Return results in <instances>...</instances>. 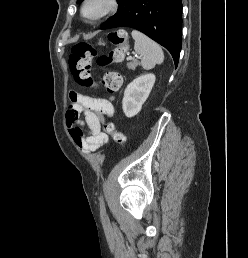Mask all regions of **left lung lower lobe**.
Segmentation results:
<instances>
[{"instance_id":"obj_1","label":"left lung lower lobe","mask_w":248,"mask_h":258,"mask_svg":"<svg viewBox=\"0 0 248 258\" xmlns=\"http://www.w3.org/2000/svg\"><path fill=\"white\" fill-rule=\"evenodd\" d=\"M181 25V0H129L101 29L135 28L164 46L177 66L181 50Z\"/></svg>"}]
</instances>
